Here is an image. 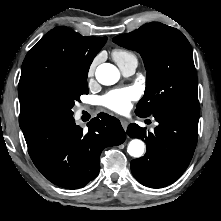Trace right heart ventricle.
Here are the masks:
<instances>
[{
    "instance_id": "obj_1",
    "label": "right heart ventricle",
    "mask_w": 221,
    "mask_h": 221,
    "mask_svg": "<svg viewBox=\"0 0 221 221\" xmlns=\"http://www.w3.org/2000/svg\"><path fill=\"white\" fill-rule=\"evenodd\" d=\"M112 57L118 65L126 63L130 60H137L136 55L133 52L126 49L113 50Z\"/></svg>"
}]
</instances>
